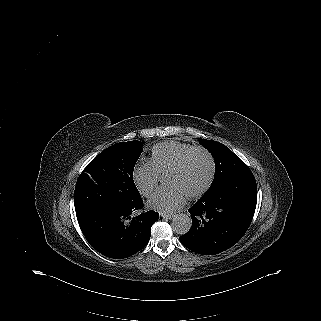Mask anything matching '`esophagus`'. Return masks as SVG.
<instances>
[{
	"label": "esophagus",
	"instance_id": "esophagus-1",
	"mask_svg": "<svg viewBox=\"0 0 321 321\" xmlns=\"http://www.w3.org/2000/svg\"><path fill=\"white\" fill-rule=\"evenodd\" d=\"M161 217H162L163 219L169 220V219H172V218H173V214L162 213V214H161Z\"/></svg>",
	"mask_w": 321,
	"mask_h": 321
}]
</instances>
